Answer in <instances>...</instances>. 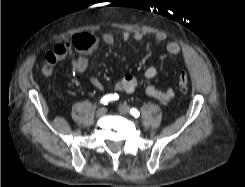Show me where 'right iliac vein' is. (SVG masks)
<instances>
[{
    "instance_id": "obj_1",
    "label": "right iliac vein",
    "mask_w": 245,
    "mask_h": 187,
    "mask_svg": "<svg viewBox=\"0 0 245 187\" xmlns=\"http://www.w3.org/2000/svg\"><path fill=\"white\" fill-rule=\"evenodd\" d=\"M106 112H107V109H106L105 107H102V108H100V109L96 112V117H97V118H101V117L105 116Z\"/></svg>"
}]
</instances>
